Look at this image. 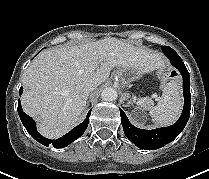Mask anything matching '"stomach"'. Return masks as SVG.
<instances>
[{"label":"stomach","mask_w":209,"mask_h":179,"mask_svg":"<svg viewBox=\"0 0 209 179\" xmlns=\"http://www.w3.org/2000/svg\"><path fill=\"white\" fill-rule=\"evenodd\" d=\"M142 77L141 71L134 68H122L119 70L118 78L122 87H128L132 82Z\"/></svg>","instance_id":"stomach-1"}]
</instances>
